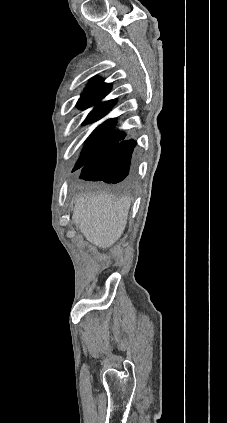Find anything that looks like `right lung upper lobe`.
Here are the masks:
<instances>
[{"label":"right lung upper lobe","instance_id":"right-lung-upper-lobe-1","mask_svg":"<svg viewBox=\"0 0 227 423\" xmlns=\"http://www.w3.org/2000/svg\"><path fill=\"white\" fill-rule=\"evenodd\" d=\"M111 89V84L104 83L102 79L96 78L90 81L86 90L81 95L77 106L81 109L88 108L98 103L104 98ZM114 101L110 100L105 103H100L95 109L89 113L84 124L94 122L103 115H105L113 106ZM114 120H108L99 126L87 139L84 155H95L105 149L111 148L119 141L125 138L124 133H118L113 130Z\"/></svg>","mask_w":227,"mask_h":423}]
</instances>
